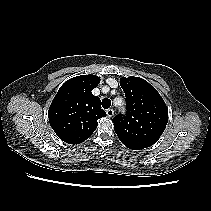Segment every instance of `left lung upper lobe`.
<instances>
[{"mask_svg":"<svg viewBox=\"0 0 211 211\" xmlns=\"http://www.w3.org/2000/svg\"><path fill=\"white\" fill-rule=\"evenodd\" d=\"M127 114L113 118L119 140L129 149L141 150L153 145L168 122L167 106L158 91L144 79L121 78Z\"/></svg>","mask_w":211,"mask_h":211,"instance_id":"1","label":"left lung upper lobe"}]
</instances>
